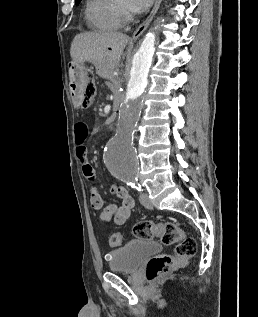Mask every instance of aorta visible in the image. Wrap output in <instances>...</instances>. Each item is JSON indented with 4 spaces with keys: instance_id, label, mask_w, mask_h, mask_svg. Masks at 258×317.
Here are the masks:
<instances>
[{
    "instance_id": "aorta-1",
    "label": "aorta",
    "mask_w": 258,
    "mask_h": 317,
    "mask_svg": "<svg viewBox=\"0 0 258 317\" xmlns=\"http://www.w3.org/2000/svg\"><path fill=\"white\" fill-rule=\"evenodd\" d=\"M154 45L155 34L148 33L134 55L127 90L119 110L117 131L104 155V162L111 174L121 180H134L139 172L133 137L142 109V94L148 84Z\"/></svg>"
}]
</instances>
